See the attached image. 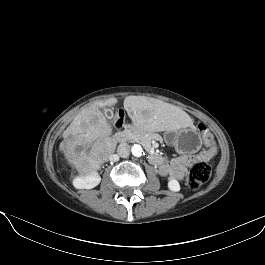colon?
Here are the masks:
<instances>
[{"label": "colon", "mask_w": 265, "mask_h": 265, "mask_svg": "<svg viewBox=\"0 0 265 265\" xmlns=\"http://www.w3.org/2000/svg\"><path fill=\"white\" fill-rule=\"evenodd\" d=\"M126 116L123 110H116L114 114V126L116 128H122L125 124ZM199 129L204 134V141L207 144H211L213 142L212 136L207 131V128L204 124H199ZM212 168L206 162H198L195 163L188 174L187 184L189 188L196 190L201 187L204 183H206L211 176Z\"/></svg>", "instance_id": "1"}]
</instances>
